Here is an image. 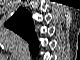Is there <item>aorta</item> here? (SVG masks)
Instances as JSON below:
<instances>
[{
    "mask_svg": "<svg viewBox=\"0 0 80 60\" xmlns=\"http://www.w3.org/2000/svg\"><path fill=\"white\" fill-rule=\"evenodd\" d=\"M3 36L6 38L5 45L9 47L13 53L18 54L27 50V44L21 37L11 33H5Z\"/></svg>",
    "mask_w": 80,
    "mask_h": 60,
    "instance_id": "aorta-1",
    "label": "aorta"
}]
</instances>
